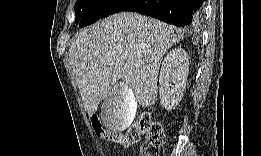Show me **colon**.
I'll return each mask as SVG.
<instances>
[{
    "instance_id": "1",
    "label": "colon",
    "mask_w": 261,
    "mask_h": 156,
    "mask_svg": "<svg viewBox=\"0 0 261 156\" xmlns=\"http://www.w3.org/2000/svg\"><path fill=\"white\" fill-rule=\"evenodd\" d=\"M97 135L105 141L130 147L140 142L141 138L145 140L142 144L141 156H161L163 155L165 136L160 122L152 119L149 113H143L138 120L124 131L109 130L99 122H93Z\"/></svg>"
}]
</instances>
